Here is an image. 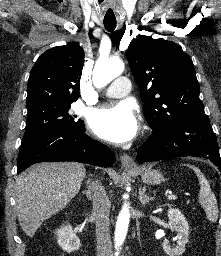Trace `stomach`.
Segmentation results:
<instances>
[{
  "instance_id": "stomach-1",
  "label": "stomach",
  "mask_w": 221,
  "mask_h": 256,
  "mask_svg": "<svg viewBox=\"0 0 221 256\" xmlns=\"http://www.w3.org/2000/svg\"><path fill=\"white\" fill-rule=\"evenodd\" d=\"M130 172L139 174L142 182L147 185H158L164 180L160 171L155 169L152 170L146 166L130 169Z\"/></svg>"
}]
</instances>
